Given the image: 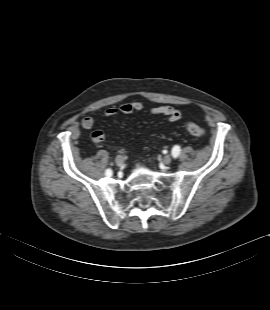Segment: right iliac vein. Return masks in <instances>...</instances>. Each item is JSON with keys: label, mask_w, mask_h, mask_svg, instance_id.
I'll list each match as a JSON object with an SVG mask.
<instances>
[{"label": "right iliac vein", "mask_w": 270, "mask_h": 310, "mask_svg": "<svg viewBox=\"0 0 270 310\" xmlns=\"http://www.w3.org/2000/svg\"><path fill=\"white\" fill-rule=\"evenodd\" d=\"M116 164L118 165V166H122V164L124 163V157L123 156H121V155H119V156H117L116 157Z\"/></svg>", "instance_id": "1"}]
</instances>
